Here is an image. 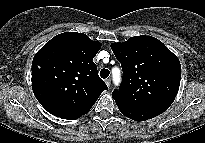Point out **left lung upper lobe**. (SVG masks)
I'll use <instances>...</instances> for the list:
<instances>
[{
  "instance_id": "left-lung-upper-lobe-1",
  "label": "left lung upper lobe",
  "mask_w": 205,
  "mask_h": 143,
  "mask_svg": "<svg viewBox=\"0 0 205 143\" xmlns=\"http://www.w3.org/2000/svg\"><path fill=\"white\" fill-rule=\"evenodd\" d=\"M111 49L121 63L123 79L112 97L117 103L146 107L171 105L180 86L178 58L158 39L135 36Z\"/></svg>"
}]
</instances>
